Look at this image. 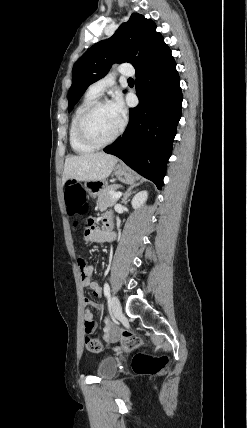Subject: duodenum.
Here are the masks:
<instances>
[{
  "mask_svg": "<svg viewBox=\"0 0 247 428\" xmlns=\"http://www.w3.org/2000/svg\"><path fill=\"white\" fill-rule=\"evenodd\" d=\"M110 227H111V221L110 220H106L103 223V230H104V232H108L110 230Z\"/></svg>",
  "mask_w": 247,
  "mask_h": 428,
  "instance_id": "1",
  "label": "duodenum"
}]
</instances>
